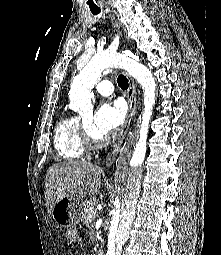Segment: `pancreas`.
I'll return each instance as SVG.
<instances>
[{
    "label": "pancreas",
    "mask_w": 221,
    "mask_h": 255,
    "mask_svg": "<svg viewBox=\"0 0 221 255\" xmlns=\"http://www.w3.org/2000/svg\"><path fill=\"white\" fill-rule=\"evenodd\" d=\"M95 203H96V200L94 197L89 198V200L85 203L84 212L81 217V221L84 224L91 223V221L95 218L94 216H92V212L96 210Z\"/></svg>",
    "instance_id": "pancreas-1"
}]
</instances>
